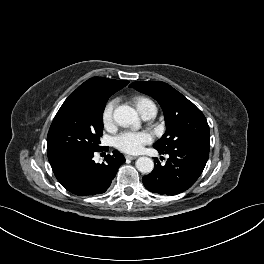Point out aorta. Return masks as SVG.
<instances>
[{
    "mask_svg": "<svg viewBox=\"0 0 264 264\" xmlns=\"http://www.w3.org/2000/svg\"><path fill=\"white\" fill-rule=\"evenodd\" d=\"M113 117L115 122L122 127L133 126L138 128L140 121L137 112L130 106L121 105L114 110ZM136 168L138 171L144 174L152 172L154 168V162L149 157H139L136 160Z\"/></svg>",
    "mask_w": 264,
    "mask_h": 264,
    "instance_id": "aorta-1",
    "label": "aorta"
}]
</instances>
